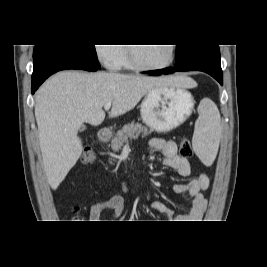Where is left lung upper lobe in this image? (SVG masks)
I'll return each instance as SVG.
<instances>
[{
  "label": "left lung upper lobe",
  "instance_id": "obj_1",
  "mask_svg": "<svg viewBox=\"0 0 267 267\" xmlns=\"http://www.w3.org/2000/svg\"><path fill=\"white\" fill-rule=\"evenodd\" d=\"M213 45H177L176 56H177V65L183 64L193 53L198 50L209 47Z\"/></svg>",
  "mask_w": 267,
  "mask_h": 267
}]
</instances>
